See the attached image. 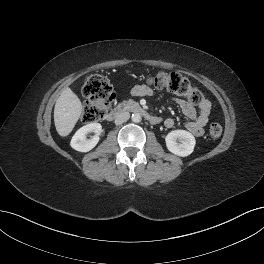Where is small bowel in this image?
<instances>
[{"label": "small bowel", "instance_id": "obj_1", "mask_svg": "<svg viewBox=\"0 0 264 264\" xmlns=\"http://www.w3.org/2000/svg\"><path fill=\"white\" fill-rule=\"evenodd\" d=\"M131 94L137 97H148L152 96V89L146 84L136 85ZM173 101L179 106L182 114L186 117L187 122L185 127L193 135L199 137L204 133V128L209 122V115L211 112V103L207 99L199 104V112L187 101L180 98H173ZM175 124V121L172 118H167L164 121L166 128H172Z\"/></svg>", "mask_w": 264, "mask_h": 264}]
</instances>
